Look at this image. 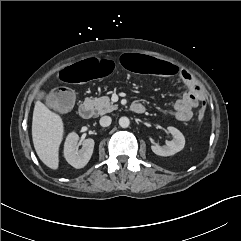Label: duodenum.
<instances>
[{
    "mask_svg": "<svg viewBox=\"0 0 241 241\" xmlns=\"http://www.w3.org/2000/svg\"><path fill=\"white\" fill-rule=\"evenodd\" d=\"M132 112L136 114H143L146 110L145 106L141 103H133L130 106ZM79 115L83 119H89L92 116V106L89 102H83L79 107Z\"/></svg>",
    "mask_w": 241,
    "mask_h": 241,
    "instance_id": "1",
    "label": "duodenum"
}]
</instances>
